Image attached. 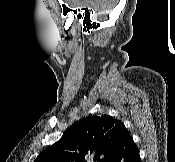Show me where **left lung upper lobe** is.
<instances>
[{"label":"left lung upper lobe","mask_w":175,"mask_h":162,"mask_svg":"<svg viewBox=\"0 0 175 162\" xmlns=\"http://www.w3.org/2000/svg\"><path fill=\"white\" fill-rule=\"evenodd\" d=\"M126 132L124 124L111 116H88L72 124L34 162H86V158L109 162Z\"/></svg>","instance_id":"left-lung-upper-lobe-1"}]
</instances>
